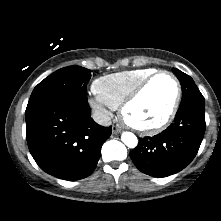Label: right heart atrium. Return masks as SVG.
<instances>
[{"label":"right heart atrium","mask_w":221,"mask_h":221,"mask_svg":"<svg viewBox=\"0 0 221 221\" xmlns=\"http://www.w3.org/2000/svg\"><path fill=\"white\" fill-rule=\"evenodd\" d=\"M89 104L92 107L94 111L99 113L102 117L107 118L110 115L109 110L107 109V105L102 102L100 99L97 97L95 98H90L89 99Z\"/></svg>","instance_id":"obj_1"}]
</instances>
